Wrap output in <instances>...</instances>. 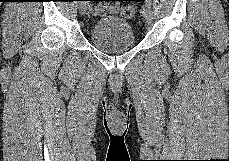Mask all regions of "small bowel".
Here are the masks:
<instances>
[{
    "label": "small bowel",
    "mask_w": 229,
    "mask_h": 161,
    "mask_svg": "<svg viewBox=\"0 0 229 161\" xmlns=\"http://www.w3.org/2000/svg\"><path fill=\"white\" fill-rule=\"evenodd\" d=\"M93 11L96 12L95 9ZM117 11H118V5L117 4H112L108 8H106V10L104 12L105 13H115Z\"/></svg>",
    "instance_id": "obj_1"
}]
</instances>
